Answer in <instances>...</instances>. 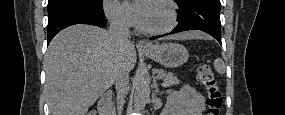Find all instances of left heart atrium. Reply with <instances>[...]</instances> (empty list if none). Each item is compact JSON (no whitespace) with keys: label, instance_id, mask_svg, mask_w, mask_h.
<instances>
[{"label":"left heart atrium","instance_id":"left-heart-atrium-1","mask_svg":"<svg viewBox=\"0 0 285 115\" xmlns=\"http://www.w3.org/2000/svg\"><path fill=\"white\" fill-rule=\"evenodd\" d=\"M134 3L136 18L141 24H143L147 18L149 3L146 0H136Z\"/></svg>","mask_w":285,"mask_h":115}]
</instances>
